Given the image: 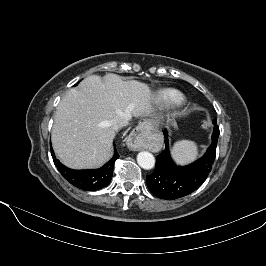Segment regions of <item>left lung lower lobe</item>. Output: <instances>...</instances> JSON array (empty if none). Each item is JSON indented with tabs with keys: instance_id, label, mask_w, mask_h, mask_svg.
<instances>
[{
	"instance_id": "1",
	"label": "left lung lower lobe",
	"mask_w": 266,
	"mask_h": 266,
	"mask_svg": "<svg viewBox=\"0 0 266 266\" xmlns=\"http://www.w3.org/2000/svg\"><path fill=\"white\" fill-rule=\"evenodd\" d=\"M164 136L166 148L157 156L155 170L147 175L146 184L155 196L174 200L189 195L206 180L215 160L219 135H212V143L200 159L183 167L177 166L170 157L166 129Z\"/></svg>"
}]
</instances>
